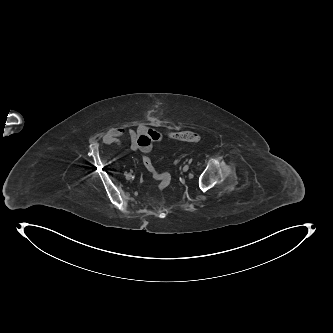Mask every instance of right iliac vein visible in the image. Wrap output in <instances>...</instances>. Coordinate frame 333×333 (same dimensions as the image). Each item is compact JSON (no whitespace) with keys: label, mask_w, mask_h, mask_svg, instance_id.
I'll return each instance as SVG.
<instances>
[{"label":"right iliac vein","mask_w":333,"mask_h":333,"mask_svg":"<svg viewBox=\"0 0 333 333\" xmlns=\"http://www.w3.org/2000/svg\"><path fill=\"white\" fill-rule=\"evenodd\" d=\"M126 179H127V180H131V179H132V175H131V174H128V175L126 176Z\"/></svg>","instance_id":"right-iliac-vein-1"}]
</instances>
